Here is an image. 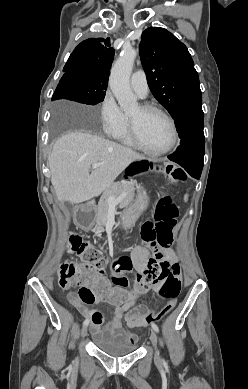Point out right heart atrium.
<instances>
[{
	"label": "right heart atrium",
	"instance_id": "right-heart-atrium-1",
	"mask_svg": "<svg viewBox=\"0 0 248 389\" xmlns=\"http://www.w3.org/2000/svg\"><path fill=\"white\" fill-rule=\"evenodd\" d=\"M99 116L103 131L112 137L121 130L126 119V115L109 91L104 94L100 102Z\"/></svg>",
	"mask_w": 248,
	"mask_h": 389
}]
</instances>
